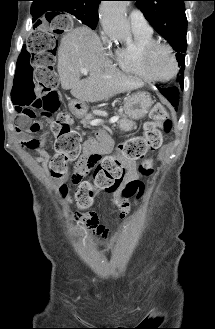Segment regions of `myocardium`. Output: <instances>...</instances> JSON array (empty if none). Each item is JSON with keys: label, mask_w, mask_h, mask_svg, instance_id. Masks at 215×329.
Instances as JSON below:
<instances>
[{"label": "myocardium", "mask_w": 215, "mask_h": 329, "mask_svg": "<svg viewBox=\"0 0 215 329\" xmlns=\"http://www.w3.org/2000/svg\"><path fill=\"white\" fill-rule=\"evenodd\" d=\"M158 48H165L169 51L173 62H174V70L173 73L167 77V78H159L157 76H155L151 70V58L153 53L158 49ZM141 65H142V69L144 71V73L146 74V76L155 82H168L170 80H172L179 71V62L175 53L174 48L165 42H161V41H153L152 43L148 44L141 52Z\"/></svg>", "instance_id": "f54148a6"}]
</instances>
